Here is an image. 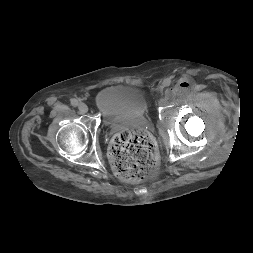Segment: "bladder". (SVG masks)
<instances>
[{"label": "bladder", "instance_id": "bladder-1", "mask_svg": "<svg viewBox=\"0 0 253 253\" xmlns=\"http://www.w3.org/2000/svg\"><path fill=\"white\" fill-rule=\"evenodd\" d=\"M96 110L106 119L140 117L147 113L149 101L138 86L114 84L101 89L94 98Z\"/></svg>", "mask_w": 253, "mask_h": 253}]
</instances>
